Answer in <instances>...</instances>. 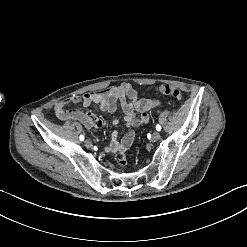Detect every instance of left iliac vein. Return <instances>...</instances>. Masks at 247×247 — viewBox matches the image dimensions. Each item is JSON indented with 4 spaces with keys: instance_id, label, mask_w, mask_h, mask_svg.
I'll list each match as a JSON object with an SVG mask.
<instances>
[{
    "instance_id": "1",
    "label": "left iliac vein",
    "mask_w": 247,
    "mask_h": 247,
    "mask_svg": "<svg viewBox=\"0 0 247 247\" xmlns=\"http://www.w3.org/2000/svg\"><path fill=\"white\" fill-rule=\"evenodd\" d=\"M159 138H160V133H159V131H155V132L152 134L151 140H152V142H156V141L159 140Z\"/></svg>"
}]
</instances>
